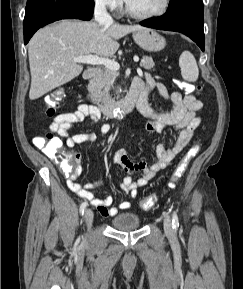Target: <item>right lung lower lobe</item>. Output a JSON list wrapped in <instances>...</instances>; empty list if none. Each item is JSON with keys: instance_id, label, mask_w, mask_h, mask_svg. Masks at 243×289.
I'll return each instance as SVG.
<instances>
[{"instance_id": "98d812e1", "label": "right lung lower lobe", "mask_w": 243, "mask_h": 289, "mask_svg": "<svg viewBox=\"0 0 243 289\" xmlns=\"http://www.w3.org/2000/svg\"><path fill=\"white\" fill-rule=\"evenodd\" d=\"M94 0H28L23 23L24 43L42 26L60 19L90 20Z\"/></svg>"}]
</instances>
